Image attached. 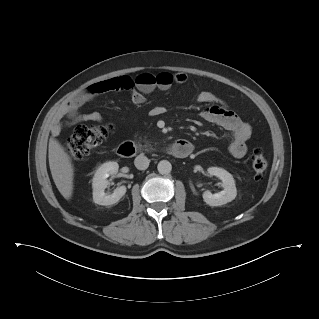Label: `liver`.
<instances>
[{
  "label": "liver",
  "mask_w": 319,
  "mask_h": 319,
  "mask_svg": "<svg viewBox=\"0 0 319 319\" xmlns=\"http://www.w3.org/2000/svg\"><path fill=\"white\" fill-rule=\"evenodd\" d=\"M48 158L54 183L61 195L69 200L73 193L74 167L64 147L53 137L49 140Z\"/></svg>",
  "instance_id": "6515ba94"
}]
</instances>
